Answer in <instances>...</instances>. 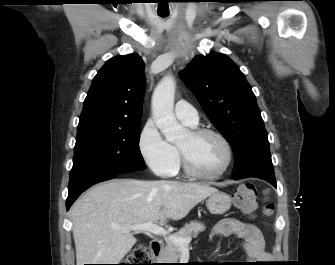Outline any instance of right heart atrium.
Segmentation results:
<instances>
[{"label":"right heart atrium","instance_id":"d8ad5b80","mask_svg":"<svg viewBox=\"0 0 335 265\" xmlns=\"http://www.w3.org/2000/svg\"><path fill=\"white\" fill-rule=\"evenodd\" d=\"M138 148L154 174L169 176L175 171L179 162L178 151L163 137L152 119L146 121L140 132Z\"/></svg>","mask_w":335,"mask_h":265}]
</instances>
